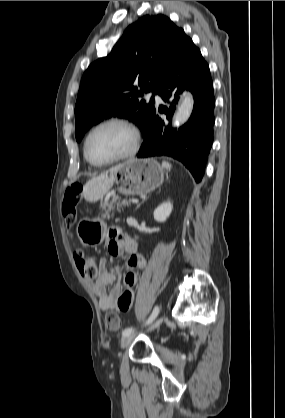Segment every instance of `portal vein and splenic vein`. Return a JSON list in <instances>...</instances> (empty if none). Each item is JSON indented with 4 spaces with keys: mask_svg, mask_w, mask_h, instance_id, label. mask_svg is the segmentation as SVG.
<instances>
[{
    "mask_svg": "<svg viewBox=\"0 0 285 418\" xmlns=\"http://www.w3.org/2000/svg\"><path fill=\"white\" fill-rule=\"evenodd\" d=\"M130 202H132V203H137V202H138V200H137V199H133V200H131Z\"/></svg>",
    "mask_w": 285,
    "mask_h": 418,
    "instance_id": "obj_1",
    "label": "portal vein and splenic vein"
}]
</instances>
